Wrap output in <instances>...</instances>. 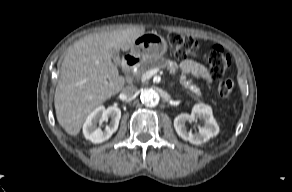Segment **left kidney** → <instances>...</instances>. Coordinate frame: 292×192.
Listing matches in <instances>:
<instances>
[{"label": "left kidney", "instance_id": "5707ae66", "mask_svg": "<svg viewBox=\"0 0 292 192\" xmlns=\"http://www.w3.org/2000/svg\"><path fill=\"white\" fill-rule=\"evenodd\" d=\"M196 119L202 120L204 125L199 128L198 133L193 134L187 130L186 122ZM174 127L183 140L195 145H200L219 133V126L213 117L212 109L204 103L195 104L190 115L187 113L178 115L174 119Z\"/></svg>", "mask_w": 292, "mask_h": 192}]
</instances>
